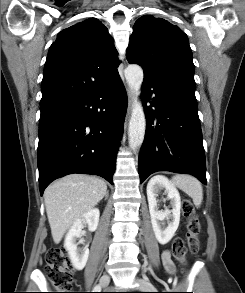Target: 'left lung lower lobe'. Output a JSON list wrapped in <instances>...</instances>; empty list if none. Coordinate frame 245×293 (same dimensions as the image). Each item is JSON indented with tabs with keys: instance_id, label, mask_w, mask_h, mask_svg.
<instances>
[{
	"instance_id": "obj_1",
	"label": "left lung lower lobe",
	"mask_w": 245,
	"mask_h": 293,
	"mask_svg": "<svg viewBox=\"0 0 245 293\" xmlns=\"http://www.w3.org/2000/svg\"><path fill=\"white\" fill-rule=\"evenodd\" d=\"M152 94L154 98L147 107ZM142 98L147 122L138 161L141 183L152 173L170 171L191 174L206 185L197 101L150 80L143 82Z\"/></svg>"
}]
</instances>
